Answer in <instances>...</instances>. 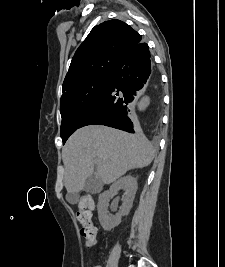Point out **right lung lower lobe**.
I'll return each instance as SVG.
<instances>
[{
  "label": "right lung lower lobe",
  "mask_w": 225,
  "mask_h": 267,
  "mask_svg": "<svg viewBox=\"0 0 225 267\" xmlns=\"http://www.w3.org/2000/svg\"><path fill=\"white\" fill-rule=\"evenodd\" d=\"M150 86L157 92L159 78L148 45L140 42L120 57L99 102L82 120L79 128L99 124L134 133L128 117L132 102L141 90Z\"/></svg>",
  "instance_id": "1"
}]
</instances>
